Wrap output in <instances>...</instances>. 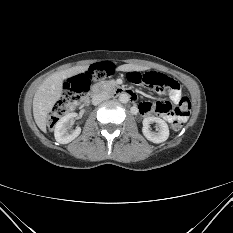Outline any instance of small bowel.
Wrapping results in <instances>:
<instances>
[{
    "label": "small bowel",
    "instance_id": "c3829d8e",
    "mask_svg": "<svg viewBox=\"0 0 233 233\" xmlns=\"http://www.w3.org/2000/svg\"><path fill=\"white\" fill-rule=\"evenodd\" d=\"M174 82L175 87L168 89L169 96L174 104H178L180 100L183 98V96L179 84L176 81ZM159 104L160 107H156V103L144 102L138 107V111L144 116L158 114L168 122H172L176 118H180L181 120L186 119V117L178 116V114L175 111V108L173 109L169 103Z\"/></svg>",
    "mask_w": 233,
    "mask_h": 233
}]
</instances>
